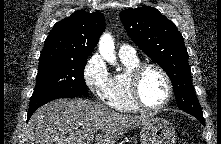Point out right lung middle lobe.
Segmentation results:
<instances>
[{
  "label": "right lung middle lobe",
  "instance_id": "dd1d6c3e",
  "mask_svg": "<svg viewBox=\"0 0 221 144\" xmlns=\"http://www.w3.org/2000/svg\"><path fill=\"white\" fill-rule=\"evenodd\" d=\"M86 62V59H40L29 110L37 109L52 99L66 94L88 96L84 80Z\"/></svg>",
  "mask_w": 221,
  "mask_h": 144
}]
</instances>
